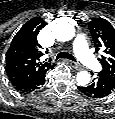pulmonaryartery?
<instances>
[{
  "instance_id": "1",
  "label": "pulmonary artery",
  "mask_w": 115,
  "mask_h": 119,
  "mask_svg": "<svg viewBox=\"0 0 115 119\" xmlns=\"http://www.w3.org/2000/svg\"><path fill=\"white\" fill-rule=\"evenodd\" d=\"M72 45L75 55L81 63L92 70H100L101 65L90 52L86 39L82 34L75 36Z\"/></svg>"
}]
</instances>
